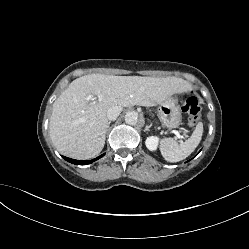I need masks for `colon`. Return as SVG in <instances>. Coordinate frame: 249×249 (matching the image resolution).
<instances>
[{"label":"colon","instance_id":"obj_1","mask_svg":"<svg viewBox=\"0 0 249 249\" xmlns=\"http://www.w3.org/2000/svg\"><path fill=\"white\" fill-rule=\"evenodd\" d=\"M183 111L189 115L188 123L194 126L200 119L202 107L196 94L190 92L183 105Z\"/></svg>","mask_w":249,"mask_h":249}]
</instances>
